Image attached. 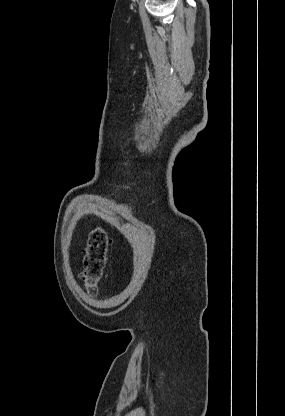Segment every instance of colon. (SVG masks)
<instances>
[{
	"instance_id": "colon-1",
	"label": "colon",
	"mask_w": 285,
	"mask_h": 416,
	"mask_svg": "<svg viewBox=\"0 0 285 416\" xmlns=\"http://www.w3.org/2000/svg\"><path fill=\"white\" fill-rule=\"evenodd\" d=\"M109 238L103 228H95L89 234L84 252L83 279L85 289L95 294L104 278L107 263Z\"/></svg>"
}]
</instances>
